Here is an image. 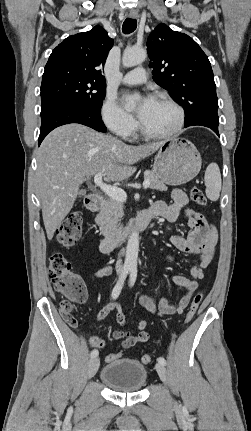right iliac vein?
Instances as JSON below:
<instances>
[{"instance_id": "1", "label": "right iliac vein", "mask_w": 251, "mask_h": 431, "mask_svg": "<svg viewBox=\"0 0 251 431\" xmlns=\"http://www.w3.org/2000/svg\"><path fill=\"white\" fill-rule=\"evenodd\" d=\"M99 364H100V361H99V358L97 357H94L90 360L88 365V371H87L88 378H92L96 374L99 368Z\"/></svg>"}]
</instances>
